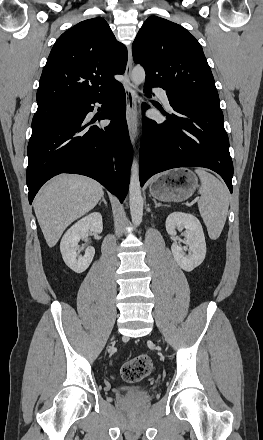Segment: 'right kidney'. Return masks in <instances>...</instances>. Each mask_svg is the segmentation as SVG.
<instances>
[{
    "label": "right kidney",
    "mask_w": 263,
    "mask_h": 440,
    "mask_svg": "<svg viewBox=\"0 0 263 440\" xmlns=\"http://www.w3.org/2000/svg\"><path fill=\"white\" fill-rule=\"evenodd\" d=\"M103 230L102 216L99 212H93L71 226L62 237L60 251L65 264L74 272L82 273L91 264L95 255L94 247H88L85 255L78 256L81 251L78 245L80 239L88 236L89 231L101 233Z\"/></svg>",
    "instance_id": "obj_1"
}]
</instances>
